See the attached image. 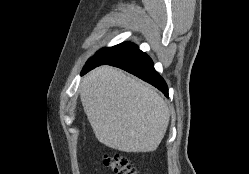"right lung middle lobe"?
<instances>
[{"instance_id":"obj_1","label":"right lung middle lobe","mask_w":249,"mask_h":174,"mask_svg":"<svg viewBox=\"0 0 249 174\" xmlns=\"http://www.w3.org/2000/svg\"><path fill=\"white\" fill-rule=\"evenodd\" d=\"M138 48L135 44L130 42H124L110 48H104L98 51L92 58H90L85 67L95 64L101 61H113L124 54Z\"/></svg>"}]
</instances>
